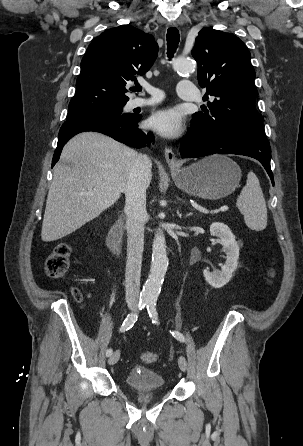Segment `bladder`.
Listing matches in <instances>:
<instances>
[{"mask_svg":"<svg viewBox=\"0 0 303 446\" xmlns=\"http://www.w3.org/2000/svg\"><path fill=\"white\" fill-rule=\"evenodd\" d=\"M125 384L133 391H159L164 388L165 379L154 370L134 367L127 373Z\"/></svg>","mask_w":303,"mask_h":446,"instance_id":"1","label":"bladder"}]
</instances>
